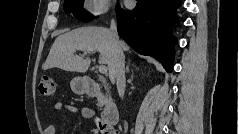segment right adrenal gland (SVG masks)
Masks as SVG:
<instances>
[{
    "instance_id": "right-adrenal-gland-1",
    "label": "right adrenal gland",
    "mask_w": 239,
    "mask_h": 134,
    "mask_svg": "<svg viewBox=\"0 0 239 134\" xmlns=\"http://www.w3.org/2000/svg\"><path fill=\"white\" fill-rule=\"evenodd\" d=\"M129 65H130V62H128V64H127L126 73H129Z\"/></svg>"
}]
</instances>
